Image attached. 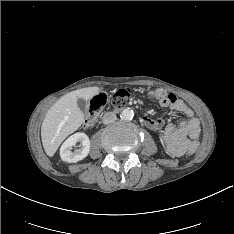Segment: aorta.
<instances>
[{
    "instance_id": "1",
    "label": "aorta",
    "mask_w": 234,
    "mask_h": 234,
    "mask_svg": "<svg viewBox=\"0 0 234 234\" xmlns=\"http://www.w3.org/2000/svg\"><path fill=\"white\" fill-rule=\"evenodd\" d=\"M134 116V112L133 110L127 108V109H124L121 114H120V117L122 120H131Z\"/></svg>"
}]
</instances>
